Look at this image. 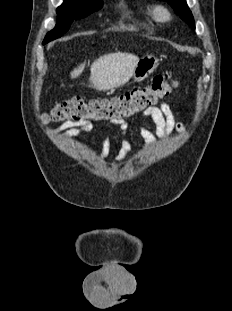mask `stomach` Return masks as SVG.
<instances>
[{"instance_id":"0dacf381","label":"stomach","mask_w":232,"mask_h":311,"mask_svg":"<svg viewBox=\"0 0 232 311\" xmlns=\"http://www.w3.org/2000/svg\"><path fill=\"white\" fill-rule=\"evenodd\" d=\"M159 65V60L156 56L147 54L138 60L133 71V81L140 82L146 79Z\"/></svg>"}]
</instances>
